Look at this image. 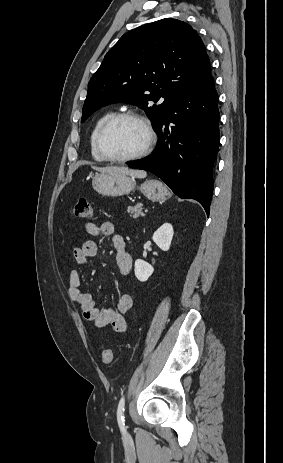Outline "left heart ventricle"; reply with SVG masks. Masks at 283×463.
Returning <instances> with one entry per match:
<instances>
[{"label":"left heart ventricle","mask_w":283,"mask_h":463,"mask_svg":"<svg viewBox=\"0 0 283 463\" xmlns=\"http://www.w3.org/2000/svg\"><path fill=\"white\" fill-rule=\"evenodd\" d=\"M146 139L145 130L138 121L124 119L108 128L103 137V147L111 156L126 157L139 152Z\"/></svg>","instance_id":"b2bd125f"}]
</instances>
